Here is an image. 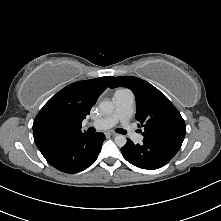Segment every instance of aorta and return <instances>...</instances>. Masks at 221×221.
<instances>
[{"mask_svg": "<svg viewBox=\"0 0 221 221\" xmlns=\"http://www.w3.org/2000/svg\"><path fill=\"white\" fill-rule=\"evenodd\" d=\"M99 110L101 113L108 115L114 111V105L111 101L104 100L99 103ZM126 143H127V139L124 135L120 134L115 137V144L118 147H123L126 145Z\"/></svg>", "mask_w": 221, "mask_h": 221, "instance_id": "obj_1", "label": "aorta"}]
</instances>
